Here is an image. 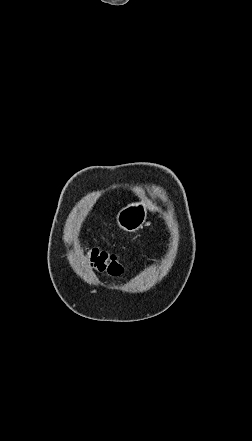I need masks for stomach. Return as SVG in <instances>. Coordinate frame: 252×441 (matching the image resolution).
<instances>
[{
  "instance_id": "obj_1",
  "label": "stomach",
  "mask_w": 252,
  "mask_h": 441,
  "mask_svg": "<svg viewBox=\"0 0 252 441\" xmlns=\"http://www.w3.org/2000/svg\"><path fill=\"white\" fill-rule=\"evenodd\" d=\"M148 210L155 211L156 207L151 202L128 204L118 212L116 217L117 224L127 232H136L143 227Z\"/></svg>"
}]
</instances>
